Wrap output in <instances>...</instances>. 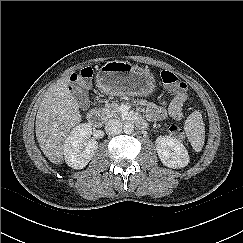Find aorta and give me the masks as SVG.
<instances>
[{"mask_svg":"<svg viewBox=\"0 0 243 243\" xmlns=\"http://www.w3.org/2000/svg\"><path fill=\"white\" fill-rule=\"evenodd\" d=\"M123 131L126 134H131L134 131V125H133V123H131V122L125 123L124 126H123Z\"/></svg>","mask_w":243,"mask_h":243,"instance_id":"aorta-1","label":"aorta"}]
</instances>
